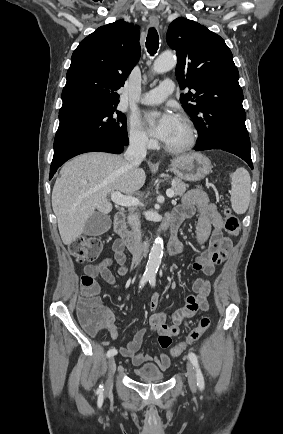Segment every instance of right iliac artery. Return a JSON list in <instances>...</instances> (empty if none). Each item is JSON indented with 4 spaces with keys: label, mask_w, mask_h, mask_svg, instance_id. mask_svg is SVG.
I'll return each instance as SVG.
<instances>
[{
    "label": "right iliac artery",
    "mask_w": 283,
    "mask_h": 434,
    "mask_svg": "<svg viewBox=\"0 0 283 434\" xmlns=\"http://www.w3.org/2000/svg\"><path fill=\"white\" fill-rule=\"evenodd\" d=\"M148 280H149V277H147V276H143V277L141 278L139 288H142V287L147 283ZM116 354H117V350H116L115 348H111V349L108 350V352H107L106 355H107V357H112V356H114V355H116ZM97 392H98L100 395L102 394V392H103V385H100V386H99Z\"/></svg>",
    "instance_id": "82829eb1"
}]
</instances>
